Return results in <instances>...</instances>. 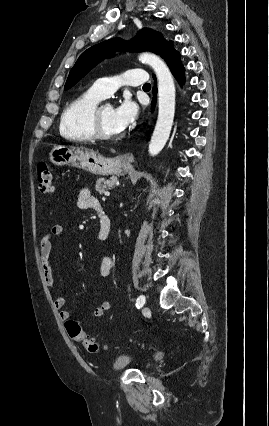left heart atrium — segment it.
Returning <instances> with one entry per match:
<instances>
[{
  "label": "left heart atrium",
  "instance_id": "obj_1",
  "mask_svg": "<svg viewBox=\"0 0 269 426\" xmlns=\"http://www.w3.org/2000/svg\"><path fill=\"white\" fill-rule=\"evenodd\" d=\"M137 105L130 101L125 100L119 106L114 108L113 117L116 126L122 131L130 126L138 116Z\"/></svg>",
  "mask_w": 269,
  "mask_h": 426
}]
</instances>
